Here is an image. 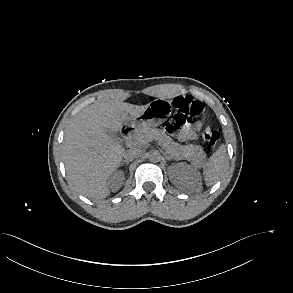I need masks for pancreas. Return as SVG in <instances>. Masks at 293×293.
Segmentation results:
<instances>
[{"label":"pancreas","mask_w":293,"mask_h":293,"mask_svg":"<svg viewBox=\"0 0 293 293\" xmlns=\"http://www.w3.org/2000/svg\"><path fill=\"white\" fill-rule=\"evenodd\" d=\"M153 139L158 140L162 148L176 160L187 159L193 165L200 166L206 159V154L201 146L180 145L161 129L140 127L133 134V141L137 145H145Z\"/></svg>","instance_id":"1"}]
</instances>
